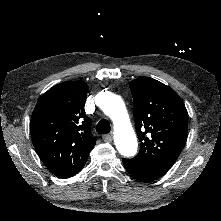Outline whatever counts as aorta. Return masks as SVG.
I'll use <instances>...</instances> for the list:
<instances>
[{"mask_svg":"<svg viewBox=\"0 0 221 221\" xmlns=\"http://www.w3.org/2000/svg\"><path fill=\"white\" fill-rule=\"evenodd\" d=\"M102 110L113 122L114 143L118 152L125 157L135 156L138 142L122 98L110 94L102 105Z\"/></svg>","mask_w":221,"mask_h":221,"instance_id":"762f6f07","label":"aorta"}]
</instances>
